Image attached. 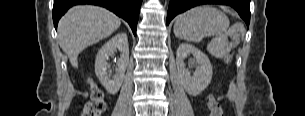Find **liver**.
Instances as JSON below:
<instances>
[{
	"label": "liver",
	"mask_w": 305,
	"mask_h": 116,
	"mask_svg": "<svg viewBox=\"0 0 305 116\" xmlns=\"http://www.w3.org/2000/svg\"><path fill=\"white\" fill-rule=\"evenodd\" d=\"M121 21L109 10L94 5H77L61 18L58 24V42L68 55L73 67L86 47L110 36Z\"/></svg>",
	"instance_id": "6515ba94"
}]
</instances>
